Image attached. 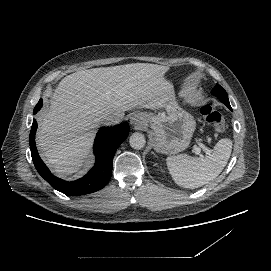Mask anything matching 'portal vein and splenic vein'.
I'll list each match as a JSON object with an SVG mask.
<instances>
[{
  "mask_svg": "<svg viewBox=\"0 0 271 271\" xmlns=\"http://www.w3.org/2000/svg\"><path fill=\"white\" fill-rule=\"evenodd\" d=\"M201 149L204 150L206 153H210V150L203 144H200V147L198 145H195L193 147L194 155H198L199 157H203L202 154H200Z\"/></svg>",
  "mask_w": 271,
  "mask_h": 271,
  "instance_id": "portal-vein-and-splenic-vein-1",
  "label": "portal vein and splenic vein"
}]
</instances>
